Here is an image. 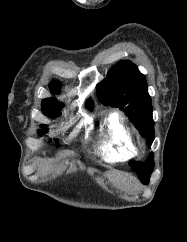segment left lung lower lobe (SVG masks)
Masks as SVG:
<instances>
[{
	"instance_id": "left-lung-lower-lobe-1",
	"label": "left lung lower lobe",
	"mask_w": 187,
	"mask_h": 242,
	"mask_svg": "<svg viewBox=\"0 0 187 242\" xmlns=\"http://www.w3.org/2000/svg\"><path fill=\"white\" fill-rule=\"evenodd\" d=\"M141 181H142V183L147 184L149 179H142Z\"/></svg>"
}]
</instances>
